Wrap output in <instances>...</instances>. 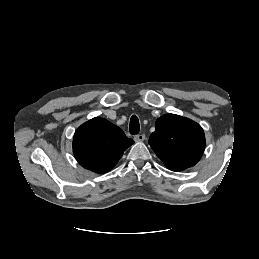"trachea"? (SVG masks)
<instances>
[{
  "instance_id": "1",
  "label": "trachea",
  "mask_w": 259,
  "mask_h": 259,
  "mask_svg": "<svg viewBox=\"0 0 259 259\" xmlns=\"http://www.w3.org/2000/svg\"><path fill=\"white\" fill-rule=\"evenodd\" d=\"M129 131L131 134H138L140 131L139 120L136 115H133L130 119Z\"/></svg>"
}]
</instances>
